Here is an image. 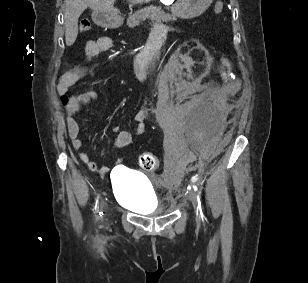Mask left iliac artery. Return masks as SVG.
<instances>
[{
	"label": "left iliac artery",
	"instance_id": "obj_1",
	"mask_svg": "<svg viewBox=\"0 0 308 283\" xmlns=\"http://www.w3.org/2000/svg\"><path fill=\"white\" fill-rule=\"evenodd\" d=\"M193 188H194V191L196 192V199H197V205H198V211H199L200 217L202 218V220H204L206 218H205L203 208H202L201 192L198 190L196 185H194Z\"/></svg>",
	"mask_w": 308,
	"mask_h": 283
}]
</instances>
